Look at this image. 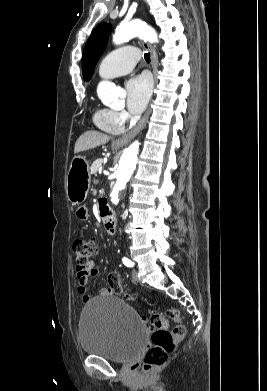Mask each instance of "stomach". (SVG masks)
<instances>
[{"label":"stomach","instance_id":"1","mask_svg":"<svg viewBox=\"0 0 267 391\" xmlns=\"http://www.w3.org/2000/svg\"><path fill=\"white\" fill-rule=\"evenodd\" d=\"M90 186L89 163L85 158L76 156L67 174L66 192L73 205L81 204L87 197Z\"/></svg>","mask_w":267,"mask_h":391}]
</instances>
